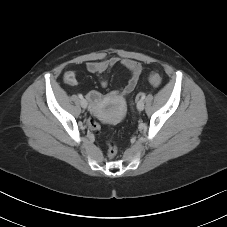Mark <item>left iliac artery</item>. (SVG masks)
Returning a JSON list of instances; mask_svg holds the SVG:
<instances>
[{
  "label": "left iliac artery",
  "instance_id": "left-iliac-artery-1",
  "mask_svg": "<svg viewBox=\"0 0 227 227\" xmlns=\"http://www.w3.org/2000/svg\"><path fill=\"white\" fill-rule=\"evenodd\" d=\"M146 95L144 93L141 94V99H145Z\"/></svg>",
  "mask_w": 227,
  "mask_h": 227
}]
</instances>
